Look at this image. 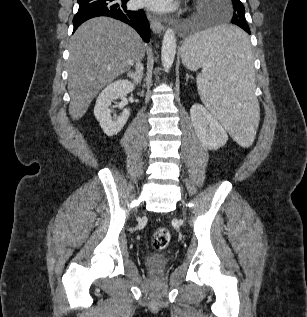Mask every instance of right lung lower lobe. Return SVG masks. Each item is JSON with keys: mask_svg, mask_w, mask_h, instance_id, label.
Segmentation results:
<instances>
[{"mask_svg": "<svg viewBox=\"0 0 307 317\" xmlns=\"http://www.w3.org/2000/svg\"><path fill=\"white\" fill-rule=\"evenodd\" d=\"M127 1L128 0H78L79 9L73 18V31L90 18L108 16L132 26L144 41L149 42L150 26L145 12L143 10H128L126 7Z\"/></svg>", "mask_w": 307, "mask_h": 317, "instance_id": "1", "label": "right lung lower lobe"}]
</instances>
